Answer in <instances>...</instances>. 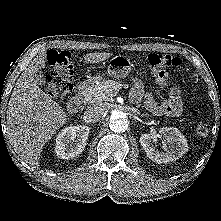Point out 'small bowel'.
<instances>
[{"label": "small bowel", "instance_id": "c3829d8e", "mask_svg": "<svg viewBox=\"0 0 221 221\" xmlns=\"http://www.w3.org/2000/svg\"><path fill=\"white\" fill-rule=\"evenodd\" d=\"M131 99L134 102H139L143 99L146 108L156 115L177 116L181 112L180 94L175 87L170 90L168 98L158 103L150 93L144 92L143 84L140 80L133 79Z\"/></svg>", "mask_w": 221, "mask_h": 221}]
</instances>
